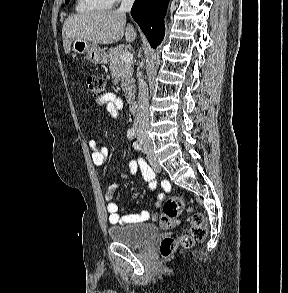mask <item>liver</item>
Listing matches in <instances>:
<instances>
[{
    "mask_svg": "<svg viewBox=\"0 0 288 293\" xmlns=\"http://www.w3.org/2000/svg\"><path fill=\"white\" fill-rule=\"evenodd\" d=\"M123 36L127 42L135 40L137 34L131 24L126 26V15L118 11L105 10L69 16L63 24L62 39L66 54L75 39L92 44H112Z\"/></svg>",
    "mask_w": 288,
    "mask_h": 293,
    "instance_id": "1",
    "label": "liver"
}]
</instances>
